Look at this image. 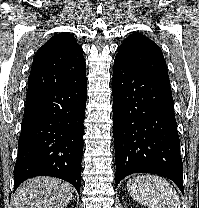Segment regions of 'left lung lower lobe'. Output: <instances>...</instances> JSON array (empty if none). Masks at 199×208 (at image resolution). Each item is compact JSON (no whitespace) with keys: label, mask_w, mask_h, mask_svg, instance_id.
I'll use <instances>...</instances> for the list:
<instances>
[{"label":"left lung lower lobe","mask_w":199,"mask_h":208,"mask_svg":"<svg viewBox=\"0 0 199 208\" xmlns=\"http://www.w3.org/2000/svg\"><path fill=\"white\" fill-rule=\"evenodd\" d=\"M112 88L116 185L132 173H153L184 193L170 83L115 59Z\"/></svg>","instance_id":"1"}]
</instances>
